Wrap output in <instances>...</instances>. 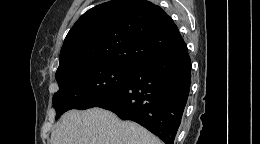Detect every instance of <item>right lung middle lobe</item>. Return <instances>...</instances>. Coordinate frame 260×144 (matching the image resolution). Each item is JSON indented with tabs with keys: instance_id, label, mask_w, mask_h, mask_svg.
<instances>
[{
	"instance_id": "obj_1",
	"label": "right lung middle lobe",
	"mask_w": 260,
	"mask_h": 144,
	"mask_svg": "<svg viewBox=\"0 0 260 144\" xmlns=\"http://www.w3.org/2000/svg\"><path fill=\"white\" fill-rule=\"evenodd\" d=\"M132 67L105 64L55 76L59 91L53 96L56 120L70 109L96 106L119 90L129 78Z\"/></svg>"
}]
</instances>
